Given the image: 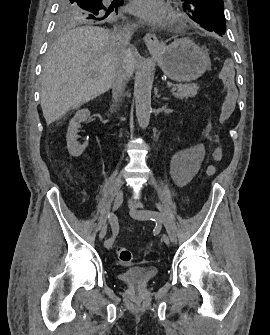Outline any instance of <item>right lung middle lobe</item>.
Segmentation results:
<instances>
[{
  "mask_svg": "<svg viewBox=\"0 0 270 335\" xmlns=\"http://www.w3.org/2000/svg\"><path fill=\"white\" fill-rule=\"evenodd\" d=\"M123 0H113L105 7L102 0H60L57 12V26L60 30L87 23L108 24L115 15ZM112 12L111 17L108 15Z\"/></svg>",
  "mask_w": 270,
  "mask_h": 335,
  "instance_id": "dd1d6c3e",
  "label": "right lung middle lobe"
}]
</instances>
